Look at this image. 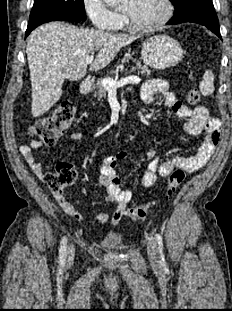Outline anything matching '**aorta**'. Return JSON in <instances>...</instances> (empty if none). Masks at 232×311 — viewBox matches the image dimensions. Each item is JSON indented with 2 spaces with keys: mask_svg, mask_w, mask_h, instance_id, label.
<instances>
[{
  "mask_svg": "<svg viewBox=\"0 0 232 311\" xmlns=\"http://www.w3.org/2000/svg\"><path fill=\"white\" fill-rule=\"evenodd\" d=\"M104 2L110 6H113L119 4L121 0H104Z\"/></svg>",
  "mask_w": 232,
  "mask_h": 311,
  "instance_id": "762f6f07",
  "label": "aorta"
}]
</instances>
